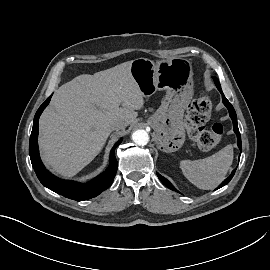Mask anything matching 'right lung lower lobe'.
I'll return each instance as SVG.
<instances>
[{"instance_id": "obj_1", "label": "right lung lower lobe", "mask_w": 270, "mask_h": 270, "mask_svg": "<svg viewBox=\"0 0 270 270\" xmlns=\"http://www.w3.org/2000/svg\"><path fill=\"white\" fill-rule=\"evenodd\" d=\"M51 96L39 107L35 114L33 128L29 141V154L32 166L40 182L50 190L61 194L67 198L83 201L99 195L101 192L111 186L117 171V160L115 157V148L121 143L118 141L111 150L110 164L106 171L94 178L88 183L81 184L74 181L62 180L52 175L41 162L38 149V122L39 117L45 107L49 104Z\"/></svg>"}]
</instances>
